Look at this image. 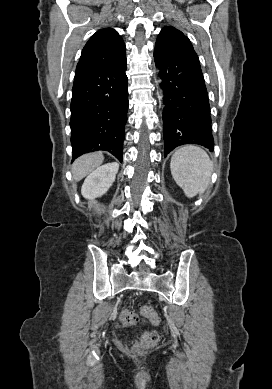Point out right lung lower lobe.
Here are the masks:
<instances>
[{
  "instance_id": "1",
  "label": "right lung lower lobe",
  "mask_w": 272,
  "mask_h": 389,
  "mask_svg": "<svg viewBox=\"0 0 272 389\" xmlns=\"http://www.w3.org/2000/svg\"><path fill=\"white\" fill-rule=\"evenodd\" d=\"M125 71L126 55L75 74L70 105L73 158L106 150L122 162L128 109Z\"/></svg>"
}]
</instances>
